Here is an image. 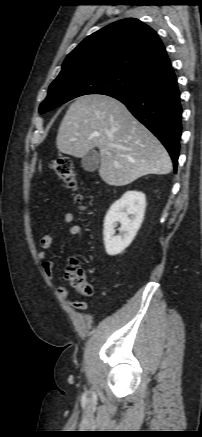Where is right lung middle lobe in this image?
Instances as JSON below:
<instances>
[{"mask_svg": "<svg viewBox=\"0 0 202 437\" xmlns=\"http://www.w3.org/2000/svg\"><path fill=\"white\" fill-rule=\"evenodd\" d=\"M146 81L112 71L72 70L59 75L49 86L48 96L41 103L39 112L45 113L82 95L116 94L135 92Z\"/></svg>", "mask_w": 202, "mask_h": 437, "instance_id": "obj_1", "label": "right lung middle lobe"}]
</instances>
